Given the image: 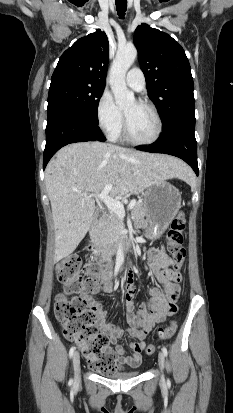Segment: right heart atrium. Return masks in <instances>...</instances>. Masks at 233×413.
Here are the masks:
<instances>
[{"label": "right heart atrium", "instance_id": "1", "mask_svg": "<svg viewBox=\"0 0 233 413\" xmlns=\"http://www.w3.org/2000/svg\"><path fill=\"white\" fill-rule=\"evenodd\" d=\"M95 114L99 127L109 138H114L122 130L123 113L108 91L100 95Z\"/></svg>", "mask_w": 233, "mask_h": 413}]
</instances>
